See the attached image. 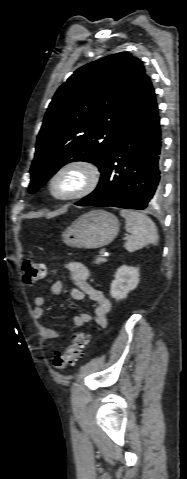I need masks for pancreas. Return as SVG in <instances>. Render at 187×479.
Segmentation results:
<instances>
[{"instance_id":"pancreas-1","label":"pancreas","mask_w":187,"mask_h":479,"mask_svg":"<svg viewBox=\"0 0 187 479\" xmlns=\"http://www.w3.org/2000/svg\"><path fill=\"white\" fill-rule=\"evenodd\" d=\"M106 261H107V259H105L103 257H96L95 260H94V263L96 265H99V264L105 263Z\"/></svg>"}]
</instances>
